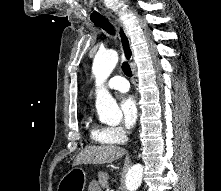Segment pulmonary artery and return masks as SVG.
I'll use <instances>...</instances> for the list:
<instances>
[{"label": "pulmonary artery", "instance_id": "e3ab8cb5", "mask_svg": "<svg viewBox=\"0 0 221 191\" xmlns=\"http://www.w3.org/2000/svg\"><path fill=\"white\" fill-rule=\"evenodd\" d=\"M107 87L111 90H117L120 92H126L129 90V83L126 78L122 76L113 77L107 84Z\"/></svg>", "mask_w": 221, "mask_h": 191}]
</instances>
